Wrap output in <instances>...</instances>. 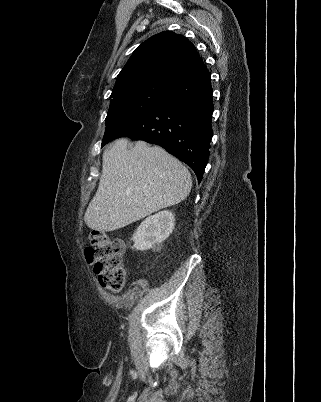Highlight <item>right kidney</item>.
Here are the masks:
<instances>
[{
  "instance_id": "right-kidney-1",
  "label": "right kidney",
  "mask_w": 321,
  "mask_h": 402,
  "mask_svg": "<svg viewBox=\"0 0 321 402\" xmlns=\"http://www.w3.org/2000/svg\"><path fill=\"white\" fill-rule=\"evenodd\" d=\"M174 215L164 210L147 217L132 236V249L145 251L160 246L174 229Z\"/></svg>"
}]
</instances>
